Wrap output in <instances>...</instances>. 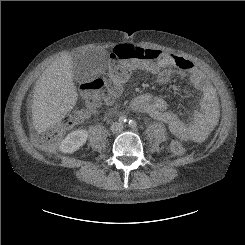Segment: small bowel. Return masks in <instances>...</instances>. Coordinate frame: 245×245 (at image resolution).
<instances>
[{
  "label": "small bowel",
  "mask_w": 245,
  "mask_h": 245,
  "mask_svg": "<svg viewBox=\"0 0 245 245\" xmlns=\"http://www.w3.org/2000/svg\"><path fill=\"white\" fill-rule=\"evenodd\" d=\"M146 61L138 64L133 70H142L156 75L159 85H167L175 74H181L190 81V86L184 89L188 92L195 88L200 92L199 110L195 112L191 123H187L177 113L168 109L166 101L146 93L132 101L131 107L137 113L148 114L165 123L170 131L178 137L190 141L200 142L207 138L217 125L219 110L216 91L207 77L195 65L182 55L164 53L157 49H145ZM162 64V68H156ZM68 73L57 71L55 77L67 79ZM123 83V82H122ZM122 83L115 90L101 95V104L111 106L114 99L120 94Z\"/></svg>",
  "instance_id": "c3829d8e"
}]
</instances>
